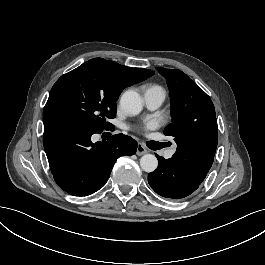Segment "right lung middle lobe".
Masks as SVG:
<instances>
[{
    "mask_svg": "<svg viewBox=\"0 0 265 265\" xmlns=\"http://www.w3.org/2000/svg\"><path fill=\"white\" fill-rule=\"evenodd\" d=\"M126 88L106 61L94 58L61 76L53 85L43 118L56 117L101 133L116 115V101Z\"/></svg>",
    "mask_w": 265,
    "mask_h": 265,
    "instance_id": "dd1d6c3e",
    "label": "right lung middle lobe"
}]
</instances>
